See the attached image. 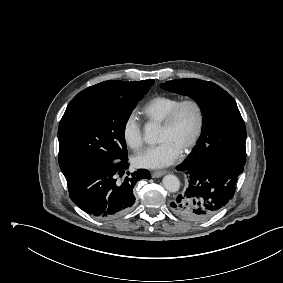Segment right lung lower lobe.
<instances>
[{
  "mask_svg": "<svg viewBox=\"0 0 283 283\" xmlns=\"http://www.w3.org/2000/svg\"><path fill=\"white\" fill-rule=\"evenodd\" d=\"M128 159L120 161H94L77 166L64 174L71 200L83 211L109 218L130 211L135 203L133 189L140 179H150L148 170L127 172Z\"/></svg>",
  "mask_w": 283,
  "mask_h": 283,
  "instance_id": "98d812e1",
  "label": "right lung lower lobe"
}]
</instances>
